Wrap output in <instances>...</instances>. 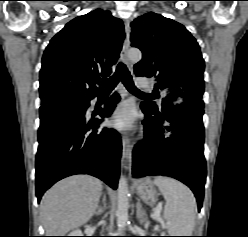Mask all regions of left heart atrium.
<instances>
[{
	"label": "left heart atrium",
	"instance_id": "39dd6f15",
	"mask_svg": "<svg viewBox=\"0 0 248 237\" xmlns=\"http://www.w3.org/2000/svg\"><path fill=\"white\" fill-rule=\"evenodd\" d=\"M108 125L119 131H128L134 128L133 108L124 103L117 107L108 120Z\"/></svg>",
	"mask_w": 248,
	"mask_h": 237
}]
</instances>
